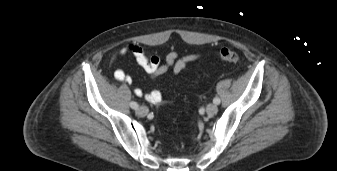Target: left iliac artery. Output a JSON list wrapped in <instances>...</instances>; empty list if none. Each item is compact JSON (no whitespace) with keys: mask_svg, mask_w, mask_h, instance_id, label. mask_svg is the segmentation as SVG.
I'll return each instance as SVG.
<instances>
[{"mask_svg":"<svg viewBox=\"0 0 337 171\" xmlns=\"http://www.w3.org/2000/svg\"><path fill=\"white\" fill-rule=\"evenodd\" d=\"M213 103L216 104V105L220 104V99L218 97H215L213 99Z\"/></svg>","mask_w":337,"mask_h":171,"instance_id":"44dca946","label":"left iliac artery"}]
</instances>
